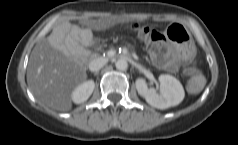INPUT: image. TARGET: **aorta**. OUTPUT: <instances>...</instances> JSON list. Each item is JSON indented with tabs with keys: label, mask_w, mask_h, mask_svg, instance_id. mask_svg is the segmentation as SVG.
Wrapping results in <instances>:
<instances>
[{
	"label": "aorta",
	"mask_w": 238,
	"mask_h": 145,
	"mask_svg": "<svg viewBox=\"0 0 238 145\" xmlns=\"http://www.w3.org/2000/svg\"><path fill=\"white\" fill-rule=\"evenodd\" d=\"M115 67L116 69L118 70H126L127 67H128V63L125 59L121 58V59H118L116 62H115Z\"/></svg>",
	"instance_id": "aorta-1"
}]
</instances>
